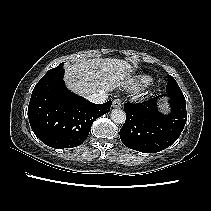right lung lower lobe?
Segmentation results:
<instances>
[{
    "label": "right lung lower lobe",
    "mask_w": 211,
    "mask_h": 211,
    "mask_svg": "<svg viewBox=\"0 0 211 211\" xmlns=\"http://www.w3.org/2000/svg\"><path fill=\"white\" fill-rule=\"evenodd\" d=\"M63 76L64 69L43 76L28 106L29 122L36 137L57 149L81 145L94 120L106 114L112 103L94 104L72 93Z\"/></svg>",
    "instance_id": "obj_1"
}]
</instances>
